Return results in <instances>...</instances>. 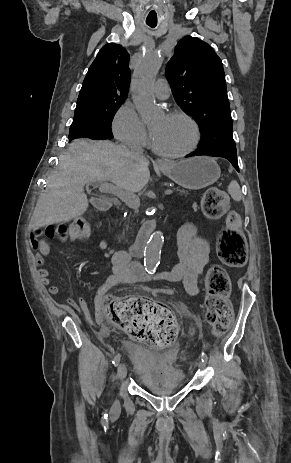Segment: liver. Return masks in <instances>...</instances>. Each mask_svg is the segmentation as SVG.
<instances>
[{
  "label": "liver",
  "instance_id": "obj_1",
  "mask_svg": "<svg viewBox=\"0 0 291 463\" xmlns=\"http://www.w3.org/2000/svg\"><path fill=\"white\" fill-rule=\"evenodd\" d=\"M149 161L109 141H73L59 159L57 171L36 204L30 226L34 229L68 222L84 214L88 199L84 186L111 181L130 192H139L150 178Z\"/></svg>",
  "mask_w": 291,
  "mask_h": 463
}]
</instances>
